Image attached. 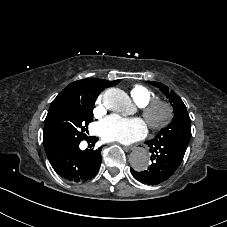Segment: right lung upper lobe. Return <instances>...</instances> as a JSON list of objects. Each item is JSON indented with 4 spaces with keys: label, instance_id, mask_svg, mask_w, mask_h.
Wrapping results in <instances>:
<instances>
[{
    "label": "right lung upper lobe",
    "instance_id": "obj_1",
    "mask_svg": "<svg viewBox=\"0 0 227 227\" xmlns=\"http://www.w3.org/2000/svg\"><path fill=\"white\" fill-rule=\"evenodd\" d=\"M120 82L119 80L107 81L96 78H86L83 80L75 81L65 87L57 96L61 97H74V98H97L100 92L111 86H115Z\"/></svg>",
    "mask_w": 227,
    "mask_h": 227
}]
</instances>
